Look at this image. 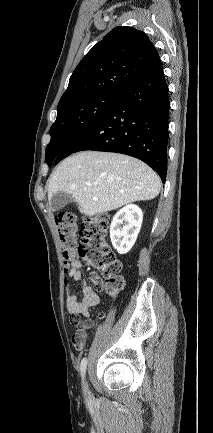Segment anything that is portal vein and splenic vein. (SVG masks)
I'll use <instances>...</instances> for the list:
<instances>
[{"label":"portal vein and splenic vein","instance_id":"obj_1","mask_svg":"<svg viewBox=\"0 0 213 433\" xmlns=\"http://www.w3.org/2000/svg\"><path fill=\"white\" fill-rule=\"evenodd\" d=\"M88 186H91V183H87Z\"/></svg>","mask_w":213,"mask_h":433}]
</instances>
